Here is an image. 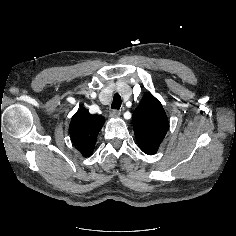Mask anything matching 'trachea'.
<instances>
[{
    "mask_svg": "<svg viewBox=\"0 0 236 236\" xmlns=\"http://www.w3.org/2000/svg\"><path fill=\"white\" fill-rule=\"evenodd\" d=\"M121 96L116 93L113 97V101H112V104H111V108L112 109H119L121 107Z\"/></svg>",
    "mask_w": 236,
    "mask_h": 236,
    "instance_id": "trachea-1",
    "label": "trachea"
}]
</instances>
